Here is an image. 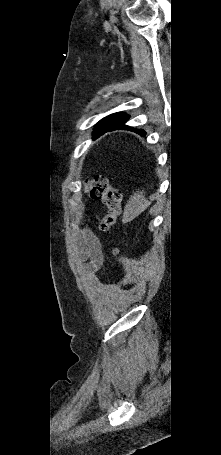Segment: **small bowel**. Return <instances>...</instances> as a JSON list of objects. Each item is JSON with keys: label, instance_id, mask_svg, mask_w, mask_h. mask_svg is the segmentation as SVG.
Returning <instances> with one entry per match:
<instances>
[{"label": "small bowel", "instance_id": "c3829d8e", "mask_svg": "<svg viewBox=\"0 0 221 455\" xmlns=\"http://www.w3.org/2000/svg\"><path fill=\"white\" fill-rule=\"evenodd\" d=\"M76 253L80 260L86 262L90 272L96 271L102 264V255L99 248L80 237L76 239Z\"/></svg>", "mask_w": 221, "mask_h": 455}]
</instances>
